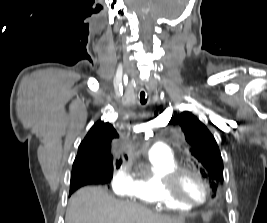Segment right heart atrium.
Returning a JSON list of instances; mask_svg holds the SVG:
<instances>
[{"instance_id": "right-heart-atrium-1", "label": "right heart atrium", "mask_w": 267, "mask_h": 223, "mask_svg": "<svg viewBox=\"0 0 267 223\" xmlns=\"http://www.w3.org/2000/svg\"><path fill=\"white\" fill-rule=\"evenodd\" d=\"M132 177L126 165L116 168L111 178V188L117 195L126 194L131 188Z\"/></svg>"}]
</instances>
